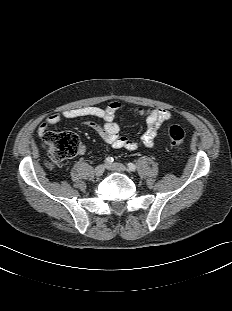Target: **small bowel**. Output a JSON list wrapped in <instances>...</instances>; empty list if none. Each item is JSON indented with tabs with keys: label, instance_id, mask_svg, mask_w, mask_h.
<instances>
[{
	"label": "small bowel",
	"instance_id": "obj_1",
	"mask_svg": "<svg viewBox=\"0 0 232 311\" xmlns=\"http://www.w3.org/2000/svg\"><path fill=\"white\" fill-rule=\"evenodd\" d=\"M122 110V104L112 101L106 108L97 106H86L80 108L66 109L59 113L48 116L38 127L37 133L44 138L49 132V127L62 121L63 119H74L92 117L101 119L102 123L88 121L87 125L95 130L101 139L113 148L126 150H136L138 143L120 134V126L114 121L115 115ZM132 112L145 119V129L140 136V141L146 147H152L155 143L161 125L172 118V114L161 108L134 107ZM85 146L79 148V154H84Z\"/></svg>",
	"mask_w": 232,
	"mask_h": 311
}]
</instances>
